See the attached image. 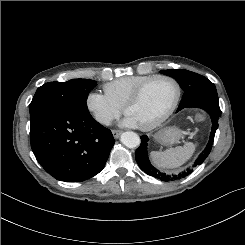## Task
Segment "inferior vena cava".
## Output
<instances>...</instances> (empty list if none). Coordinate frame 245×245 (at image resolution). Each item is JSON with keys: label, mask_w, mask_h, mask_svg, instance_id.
<instances>
[{"label": "inferior vena cava", "mask_w": 245, "mask_h": 245, "mask_svg": "<svg viewBox=\"0 0 245 245\" xmlns=\"http://www.w3.org/2000/svg\"><path fill=\"white\" fill-rule=\"evenodd\" d=\"M103 123L105 124V125H110L111 124V119H105L104 121H103Z\"/></svg>", "instance_id": "1"}]
</instances>
